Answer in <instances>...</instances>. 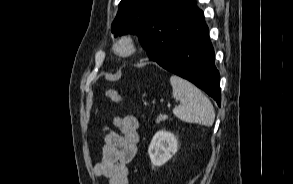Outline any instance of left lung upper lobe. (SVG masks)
Returning <instances> with one entry per match:
<instances>
[{
    "label": "left lung upper lobe",
    "instance_id": "left-lung-upper-lobe-1",
    "mask_svg": "<svg viewBox=\"0 0 293 184\" xmlns=\"http://www.w3.org/2000/svg\"><path fill=\"white\" fill-rule=\"evenodd\" d=\"M183 0H121L111 25L116 36L136 34L149 57L157 55L161 38L169 29L174 11Z\"/></svg>",
    "mask_w": 293,
    "mask_h": 184
}]
</instances>
